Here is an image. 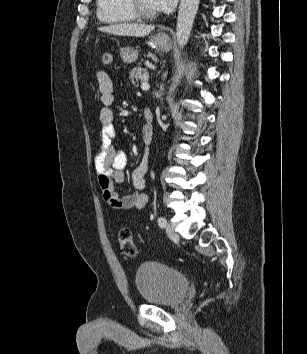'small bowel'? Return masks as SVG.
<instances>
[{
    "label": "small bowel",
    "mask_w": 307,
    "mask_h": 354,
    "mask_svg": "<svg viewBox=\"0 0 307 354\" xmlns=\"http://www.w3.org/2000/svg\"><path fill=\"white\" fill-rule=\"evenodd\" d=\"M100 102L102 104L99 121L101 124L100 150L96 156V172L98 182L105 201L110 207L117 210L143 209L148 203V195L142 192L146 187L145 175L149 167L148 153L144 155L141 162L131 173L132 186L135 192L120 196L114 189L115 184L124 180V169L127 166V156L114 146L116 130L114 126V114L112 104L114 102L113 82L104 70L96 72ZM142 138L145 144L149 145L153 138L151 126H144Z\"/></svg>",
    "instance_id": "1"
}]
</instances>
